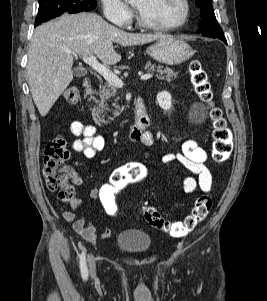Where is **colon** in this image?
<instances>
[{
    "label": "colon",
    "mask_w": 267,
    "mask_h": 301,
    "mask_svg": "<svg viewBox=\"0 0 267 301\" xmlns=\"http://www.w3.org/2000/svg\"><path fill=\"white\" fill-rule=\"evenodd\" d=\"M189 74L194 91L205 103L212 100V90L208 74L198 60L189 65ZM63 98L70 104L79 99V91L70 86L65 89ZM210 118L213 123L212 158L216 162L227 160L233 149V135L222 115V111L214 106L210 108ZM69 159V150L65 139L57 136L51 139L44 151L43 174L49 190L57 192L64 202H70L74 197L69 169L64 167ZM149 177L148 168L138 162H130L116 168L109 181L98 188L97 200L103 212L111 218L122 216L120 198L131 186L145 181ZM212 199L208 195L199 196L192 211L181 221H169L162 217L156 208L146 205L143 208L144 219L152 227L167 232L173 237H182L191 232L209 214Z\"/></svg>",
    "instance_id": "colon-1"
}]
</instances>
